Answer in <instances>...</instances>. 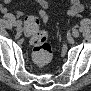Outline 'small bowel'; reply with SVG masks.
<instances>
[{"label": "small bowel", "instance_id": "small-bowel-1", "mask_svg": "<svg viewBox=\"0 0 91 91\" xmlns=\"http://www.w3.org/2000/svg\"><path fill=\"white\" fill-rule=\"evenodd\" d=\"M37 2L41 7V11H40L39 15H46V9L48 8L47 0H37ZM82 10H83V5L80 3V1L72 0L67 9V14L73 16V15L80 13ZM1 11L3 13H6L7 9L5 7H1ZM17 15L22 16L23 12L17 11Z\"/></svg>", "mask_w": 91, "mask_h": 91}]
</instances>
